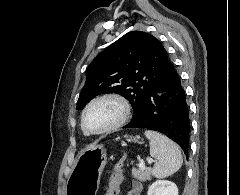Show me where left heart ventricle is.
I'll use <instances>...</instances> for the list:
<instances>
[{
    "label": "left heart ventricle",
    "instance_id": "1",
    "mask_svg": "<svg viewBox=\"0 0 240 195\" xmlns=\"http://www.w3.org/2000/svg\"><path fill=\"white\" fill-rule=\"evenodd\" d=\"M119 114L114 103H102L94 106L86 115L85 125L89 131L99 130L112 123Z\"/></svg>",
    "mask_w": 240,
    "mask_h": 195
}]
</instances>
